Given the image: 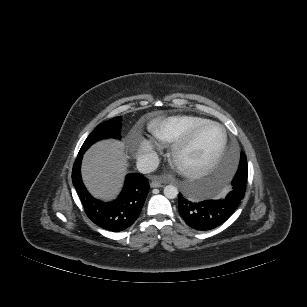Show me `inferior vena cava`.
<instances>
[{"instance_id": "602c4592", "label": "inferior vena cava", "mask_w": 307, "mask_h": 307, "mask_svg": "<svg viewBox=\"0 0 307 307\" xmlns=\"http://www.w3.org/2000/svg\"><path fill=\"white\" fill-rule=\"evenodd\" d=\"M158 165L159 158L155 153L140 156L136 163L138 171L143 174L153 172Z\"/></svg>"}]
</instances>
